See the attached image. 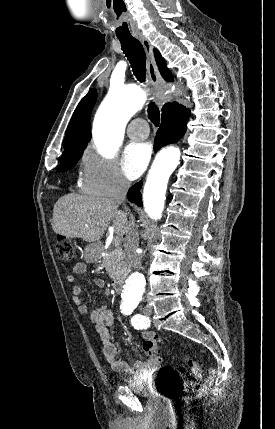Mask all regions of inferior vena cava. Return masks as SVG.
<instances>
[{
  "instance_id": "obj_1",
  "label": "inferior vena cava",
  "mask_w": 275,
  "mask_h": 429,
  "mask_svg": "<svg viewBox=\"0 0 275 429\" xmlns=\"http://www.w3.org/2000/svg\"><path fill=\"white\" fill-rule=\"evenodd\" d=\"M129 187H130V183L124 178H121L116 187L113 200L119 204L124 203ZM125 211L128 212L127 214L130 215L129 222L127 225V230H126L125 241H124L126 261L134 269H140L141 257L136 252L138 247V242H139L138 230L135 224V219L132 216V214H130L129 209L126 206H125Z\"/></svg>"
}]
</instances>
